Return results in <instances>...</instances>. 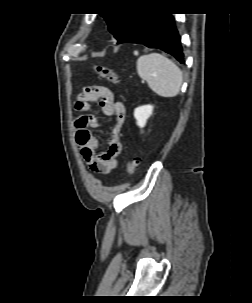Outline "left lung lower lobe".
<instances>
[{"label": "left lung lower lobe", "instance_id": "obj_1", "mask_svg": "<svg viewBox=\"0 0 252 303\" xmlns=\"http://www.w3.org/2000/svg\"><path fill=\"white\" fill-rule=\"evenodd\" d=\"M143 44L149 48H158L184 63V56L178 32L171 14L146 13L139 23L118 42Z\"/></svg>", "mask_w": 252, "mask_h": 303}]
</instances>
